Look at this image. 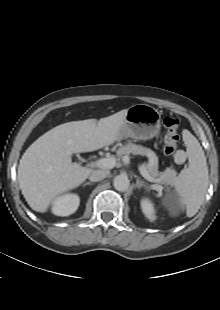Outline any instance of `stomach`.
<instances>
[{
  "label": "stomach",
  "instance_id": "stomach-1",
  "mask_svg": "<svg viewBox=\"0 0 220 310\" xmlns=\"http://www.w3.org/2000/svg\"><path fill=\"white\" fill-rule=\"evenodd\" d=\"M160 127L161 114L157 109L147 104H136L127 110L120 139L148 140L159 133Z\"/></svg>",
  "mask_w": 220,
  "mask_h": 310
}]
</instances>
